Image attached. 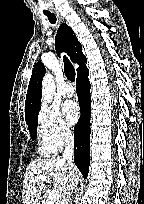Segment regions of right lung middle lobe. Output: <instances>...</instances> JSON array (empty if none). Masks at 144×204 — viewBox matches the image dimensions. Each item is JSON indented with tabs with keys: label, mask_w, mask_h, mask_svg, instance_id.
<instances>
[{
	"label": "right lung middle lobe",
	"mask_w": 144,
	"mask_h": 204,
	"mask_svg": "<svg viewBox=\"0 0 144 204\" xmlns=\"http://www.w3.org/2000/svg\"><path fill=\"white\" fill-rule=\"evenodd\" d=\"M38 113L37 112L35 115H33L32 117L26 119V123H28V129L30 131L31 134V138L34 140L37 137V117H38Z\"/></svg>",
	"instance_id": "right-lung-middle-lobe-1"
}]
</instances>
